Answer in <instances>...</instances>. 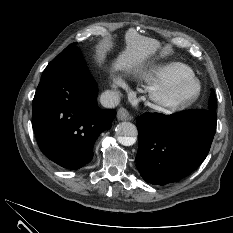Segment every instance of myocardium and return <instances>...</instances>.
<instances>
[{
  "instance_id": "f54148a6",
  "label": "myocardium",
  "mask_w": 233,
  "mask_h": 233,
  "mask_svg": "<svg viewBox=\"0 0 233 233\" xmlns=\"http://www.w3.org/2000/svg\"><path fill=\"white\" fill-rule=\"evenodd\" d=\"M193 91L185 95L184 89ZM202 86L195 77H184L167 85L154 86L149 94L154 108L165 113H178L192 106L200 97Z\"/></svg>"
}]
</instances>
